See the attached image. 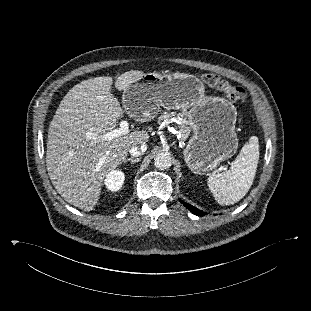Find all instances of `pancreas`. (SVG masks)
Masks as SVG:
<instances>
[{"mask_svg":"<svg viewBox=\"0 0 311 311\" xmlns=\"http://www.w3.org/2000/svg\"><path fill=\"white\" fill-rule=\"evenodd\" d=\"M175 119L179 121L178 128L180 139L182 141L187 140L188 136L191 133V127H189L188 120L185 118V113H176V112H164L162 115L158 117V123L161 124L166 122V124L173 122Z\"/></svg>","mask_w":311,"mask_h":311,"instance_id":"obj_1","label":"pancreas"}]
</instances>
